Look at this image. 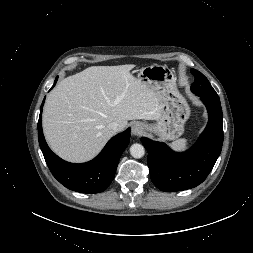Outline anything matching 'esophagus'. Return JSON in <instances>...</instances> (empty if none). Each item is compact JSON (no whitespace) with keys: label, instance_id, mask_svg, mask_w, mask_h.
Returning a JSON list of instances; mask_svg holds the SVG:
<instances>
[{"label":"esophagus","instance_id":"esophagus-1","mask_svg":"<svg viewBox=\"0 0 253 253\" xmlns=\"http://www.w3.org/2000/svg\"><path fill=\"white\" fill-rule=\"evenodd\" d=\"M143 132H144V126L141 123L137 122L132 126V134L134 136H140L143 134Z\"/></svg>","mask_w":253,"mask_h":253}]
</instances>
